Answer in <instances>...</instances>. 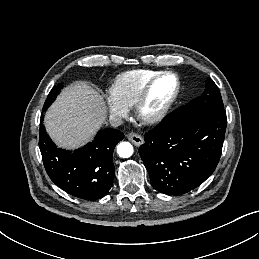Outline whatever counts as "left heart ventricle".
<instances>
[{
	"instance_id": "b2bd125f",
	"label": "left heart ventricle",
	"mask_w": 259,
	"mask_h": 259,
	"mask_svg": "<svg viewBox=\"0 0 259 259\" xmlns=\"http://www.w3.org/2000/svg\"><path fill=\"white\" fill-rule=\"evenodd\" d=\"M175 86L176 82L172 76H166L158 80L147 97L142 115L149 117L159 111L173 95Z\"/></svg>"
}]
</instances>
